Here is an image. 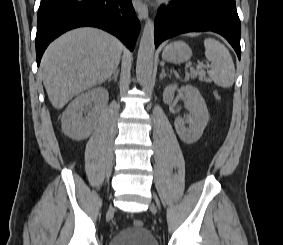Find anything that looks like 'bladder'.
I'll use <instances>...</instances> for the list:
<instances>
[{
	"label": "bladder",
	"mask_w": 283,
	"mask_h": 245,
	"mask_svg": "<svg viewBox=\"0 0 283 245\" xmlns=\"http://www.w3.org/2000/svg\"><path fill=\"white\" fill-rule=\"evenodd\" d=\"M109 245H159L150 230L144 227L125 228L117 232Z\"/></svg>",
	"instance_id": "obj_1"
}]
</instances>
